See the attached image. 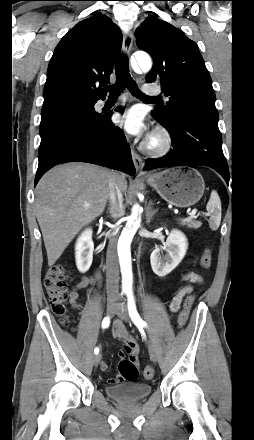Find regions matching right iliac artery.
Masks as SVG:
<instances>
[{"instance_id":"1","label":"right iliac artery","mask_w":254,"mask_h":440,"mask_svg":"<svg viewBox=\"0 0 254 440\" xmlns=\"http://www.w3.org/2000/svg\"><path fill=\"white\" fill-rule=\"evenodd\" d=\"M109 324H110V318H109V317H105V318L103 319V321H102V327H103V328H107V327L109 326ZM94 353H95V354H98V353H99V348H98V347H96V348L94 349Z\"/></svg>"}]
</instances>
